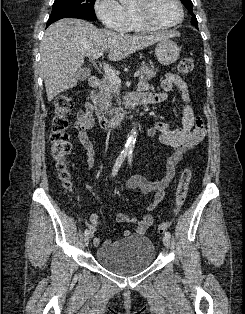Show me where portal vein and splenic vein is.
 Here are the masks:
<instances>
[{
    "mask_svg": "<svg viewBox=\"0 0 245 314\" xmlns=\"http://www.w3.org/2000/svg\"><path fill=\"white\" fill-rule=\"evenodd\" d=\"M102 55H103V52H98L93 55V59H97ZM103 70L111 83L116 84V85L121 84V79L115 74V72L108 65L104 64ZM138 76H139V72L137 71L134 73V77H138Z\"/></svg>",
    "mask_w": 245,
    "mask_h": 314,
    "instance_id": "portal-vein-and-splenic-vein-1",
    "label": "portal vein and splenic vein"
}]
</instances>
